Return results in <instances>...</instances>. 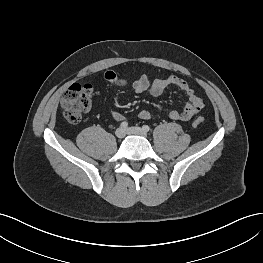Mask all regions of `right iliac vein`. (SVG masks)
I'll return each mask as SVG.
<instances>
[{
  "instance_id": "right-iliac-vein-1",
  "label": "right iliac vein",
  "mask_w": 263,
  "mask_h": 263,
  "mask_svg": "<svg viewBox=\"0 0 263 263\" xmlns=\"http://www.w3.org/2000/svg\"><path fill=\"white\" fill-rule=\"evenodd\" d=\"M115 135H116L117 138L122 139V138L125 137L126 132H125L124 129L118 128V129L115 131Z\"/></svg>"
}]
</instances>
